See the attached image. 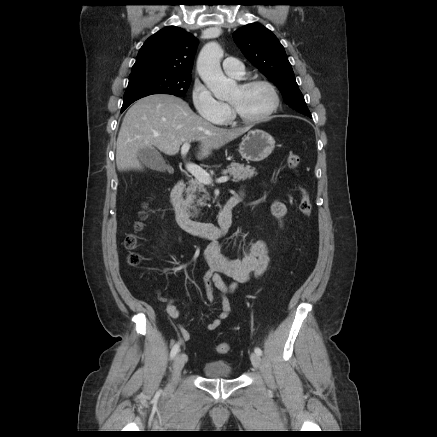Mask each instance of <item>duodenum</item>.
Masks as SVG:
<instances>
[{"label": "duodenum", "mask_w": 437, "mask_h": 437, "mask_svg": "<svg viewBox=\"0 0 437 437\" xmlns=\"http://www.w3.org/2000/svg\"><path fill=\"white\" fill-rule=\"evenodd\" d=\"M185 181L179 180L171 191V202L177 224L187 233L205 239H217L224 236L232 224L233 210L240 201L238 195L231 196L224 204L217 223L202 222L192 219L183 200Z\"/></svg>", "instance_id": "1"}]
</instances>
